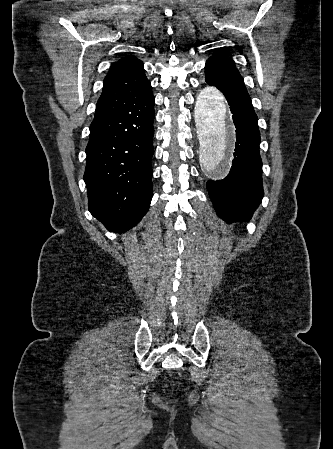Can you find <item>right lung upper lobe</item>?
<instances>
[{
	"label": "right lung upper lobe",
	"instance_id": "cb5924a9",
	"mask_svg": "<svg viewBox=\"0 0 333 449\" xmlns=\"http://www.w3.org/2000/svg\"><path fill=\"white\" fill-rule=\"evenodd\" d=\"M150 87L142 62L132 55H126L111 65L103 82L95 116L117 109Z\"/></svg>",
	"mask_w": 333,
	"mask_h": 449
}]
</instances>
